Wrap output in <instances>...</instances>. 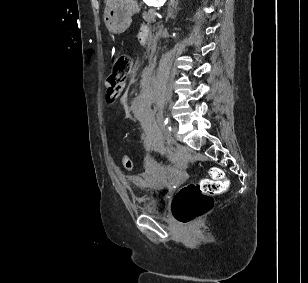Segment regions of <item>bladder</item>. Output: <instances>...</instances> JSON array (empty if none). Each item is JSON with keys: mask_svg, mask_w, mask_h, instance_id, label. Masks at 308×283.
Instances as JSON below:
<instances>
[{"mask_svg": "<svg viewBox=\"0 0 308 283\" xmlns=\"http://www.w3.org/2000/svg\"><path fill=\"white\" fill-rule=\"evenodd\" d=\"M160 211L159 207L156 206L154 209H149L148 212L149 213H158Z\"/></svg>", "mask_w": 308, "mask_h": 283, "instance_id": "1", "label": "bladder"}]
</instances>
